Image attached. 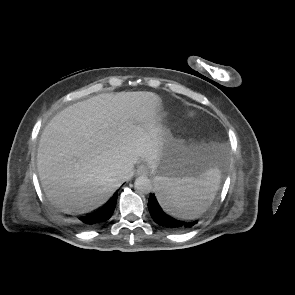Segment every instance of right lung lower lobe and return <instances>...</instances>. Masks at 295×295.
I'll return each mask as SVG.
<instances>
[{"label": "right lung lower lobe", "instance_id": "1", "mask_svg": "<svg viewBox=\"0 0 295 295\" xmlns=\"http://www.w3.org/2000/svg\"><path fill=\"white\" fill-rule=\"evenodd\" d=\"M116 202H117V192L101 208H99L98 210L92 213L79 217V220L82 222V224L85 227H88V228L100 225L111 217L115 209Z\"/></svg>", "mask_w": 295, "mask_h": 295}]
</instances>
